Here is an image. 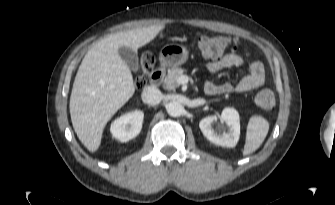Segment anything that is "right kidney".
Here are the masks:
<instances>
[{
    "mask_svg": "<svg viewBox=\"0 0 335 205\" xmlns=\"http://www.w3.org/2000/svg\"><path fill=\"white\" fill-rule=\"evenodd\" d=\"M143 118L144 113L140 110L126 113L112 122L110 132L120 142H127L140 133Z\"/></svg>",
    "mask_w": 335,
    "mask_h": 205,
    "instance_id": "1",
    "label": "right kidney"
}]
</instances>
